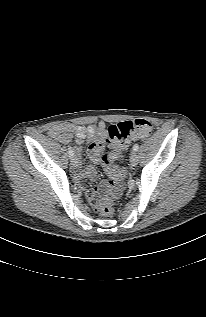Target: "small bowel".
Instances as JSON below:
<instances>
[{"instance_id": "small-bowel-1", "label": "small bowel", "mask_w": 206, "mask_h": 317, "mask_svg": "<svg viewBox=\"0 0 206 317\" xmlns=\"http://www.w3.org/2000/svg\"><path fill=\"white\" fill-rule=\"evenodd\" d=\"M48 135L62 144H68L72 139V135H75L77 144L86 143L90 159L94 162H98L100 155L105 148L107 132L105 123L101 121L98 124L89 126H78L74 124L54 125L49 129ZM80 152V148L75 149L77 156L80 155ZM117 154L118 151L112 147L110 156L112 158H116ZM77 177L95 178V168L89 165L85 170L78 171ZM96 194V189L89 191L86 193V198L93 205V207L98 208L99 203L96 198Z\"/></svg>"}]
</instances>
